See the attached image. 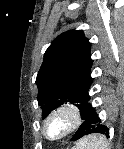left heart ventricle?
<instances>
[{
	"label": "left heart ventricle",
	"mask_w": 124,
	"mask_h": 149,
	"mask_svg": "<svg viewBox=\"0 0 124 149\" xmlns=\"http://www.w3.org/2000/svg\"><path fill=\"white\" fill-rule=\"evenodd\" d=\"M65 123L63 121H54L49 126V134L52 137L59 136L64 130Z\"/></svg>",
	"instance_id": "b2bd125f"
}]
</instances>
